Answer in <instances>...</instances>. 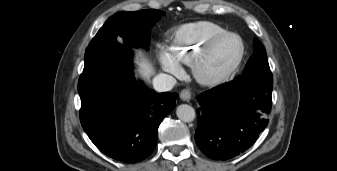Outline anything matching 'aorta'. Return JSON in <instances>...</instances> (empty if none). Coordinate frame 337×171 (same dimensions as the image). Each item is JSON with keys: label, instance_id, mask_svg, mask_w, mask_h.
<instances>
[{"label": "aorta", "instance_id": "762f6f07", "mask_svg": "<svg viewBox=\"0 0 337 171\" xmlns=\"http://www.w3.org/2000/svg\"><path fill=\"white\" fill-rule=\"evenodd\" d=\"M176 115L183 122H192L195 119L196 113L192 106L182 104L177 107Z\"/></svg>", "mask_w": 337, "mask_h": 171}]
</instances>
